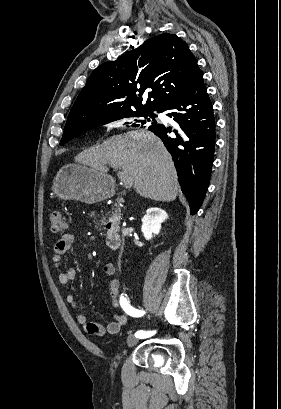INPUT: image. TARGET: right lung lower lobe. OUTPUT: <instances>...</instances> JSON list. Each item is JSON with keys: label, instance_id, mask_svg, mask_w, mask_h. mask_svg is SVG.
Here are the masks:
<instances>
[{"label": "right lung lower lobe", "instance_id": "98d812e1", "mask_svg": "<svg viewBox=\"0 0 281 409\" xmlns=\"http://www.w3.org/2000/svg\"><path fill=\"white\" fill-rule=\"evenodd\" d=\"M157 112H166L176 124L171 127L154 122L149 130L162 139L171 153L182 192L189 202L190 213L194 215L209 185L216 136L212 103L202 72Z\"/></svg>", "mask_w": 281, "mask_h": 409}]
</instances>
